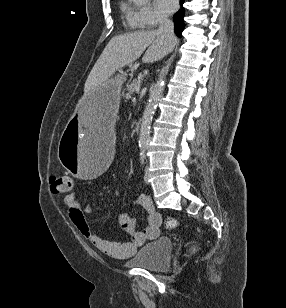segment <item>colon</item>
I'll return each instance as SVG.
<instances>
[{
	"label": "colon",
	"instance_id": "obj_1",
	"mask_svg": "<svg viewBox=\"0 0 286 308\" xmlns=\"http://www.w3.org/2000/svg\"><path fill=\"white\" fill-rule=\"evenodd\" d=\"M73 180L67 175L53 176L51 179V190L55 194H69L73 191ZM171 225H175L174 221L170 222Z\"/></svg>",
	"mask_w": 286,
	"mask_h": 308
}]
</instances>
